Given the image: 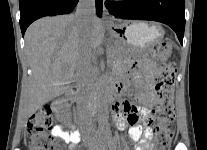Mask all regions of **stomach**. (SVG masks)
Returning <instances> with one entry per match:
<instances>
[{
	"mask_svg": "<svg viewBox=\"0 0 207 150\" xmlns=\"http://www.w3.org/2000/svg\"><path fill=\"white\" fill-rule=\"evenodd\" d=\"M107 29L115 42V47L121 49V59L145 53L164 34L160 24L146 22H123L113 24Z\"/></svg>",
	"mask_w": 207,
	"mask_h": 150,
	"instance_id": "obj_1",
	"label": "stomach"
}]
</instances>
